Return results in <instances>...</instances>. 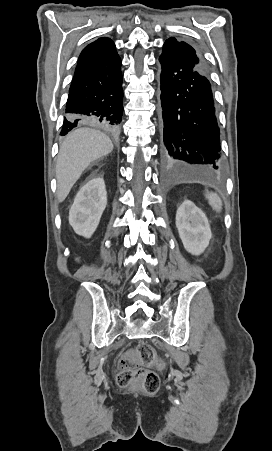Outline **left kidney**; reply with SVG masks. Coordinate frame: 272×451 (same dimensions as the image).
<instances>
[{"instance_id":"5707ae66","label":"left kidney","mask_w":272,"mask_h":451,"mask_svg":"<svg viewBox=\"0 0 272 451\" xmlns=\"http://www.w3.org/2000/svg\"><path fill=\"white\" fill-rule=\"evenodd\" d=\"M176 227L187 251L200 255L211 237L209 222L200 208L190 200H184L176 212Z\"/></svg>"}]
</instances>
